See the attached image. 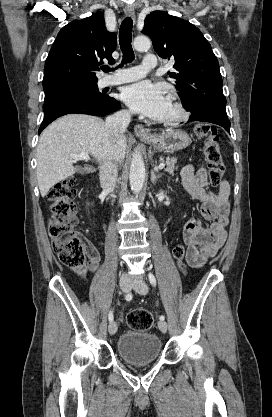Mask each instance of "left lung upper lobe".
Masks as SVG:
<instances>
[{
    "label": "left lung upper lobe",
    "instance_id": "obj_1",
    "mask_svg": "<svg viewBox=\"0 0 272 417\" xmlns=\"http://www.w3.org/2000/svg\"><path fill=\"white\" fill-rule=\"evenodd\" d=\"M142 33L149 35L162 58L174 59L176 89L183 107L191 113L227 117L219 63L211 45L193 24L167 12L147 15Z\"/></svg>",
    "mask_w": 272,
    "mask_h": 417
}]
</instances>
